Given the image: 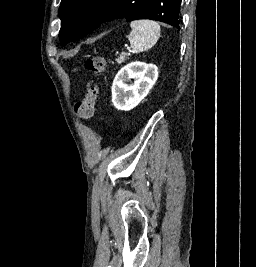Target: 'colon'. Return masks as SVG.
I'll return each instance as SVG.
<instances>
[{"instance_id":"5ec220e1","label":"colon","mask_w":256,"mask_h":267,"mask_svg":"<svg viewBox=\"0 0 256 267\" xmlns=\"http://www.w3.org/2000/svg\"><path fill=\"white\" fill-rule=\"evenodd\" d=\"M106 62L104 58L95 56L85 60V68L89 73L96 74L105 70ZM100 95L98 85L91 86L86 95L75 102L73 106L74 114L82 121L90 120L95 113V106Z\"/></svg>"}]
</instances>
